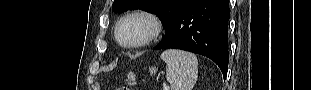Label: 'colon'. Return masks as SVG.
I'll use <instances>...</instances> for the list:
<instances>
[{
    "label": "colon",
    "mask_w": 311,
    "mask_h": 90,
    "mask_svg": "<svg viewBox=\"0 0 311 90\" xmlns=\"http://www.w3.org/2000/svg\"><path fill=\"white\" fill-rule=\"evenodd\" d=\"M118 90H130V88H128V87H120V88H118Z\"/></svg>",
    "instance_id": "obj_1"
}]
</instances>
